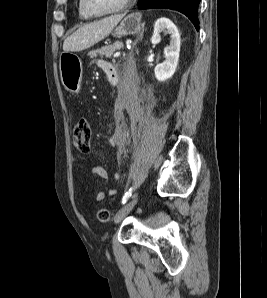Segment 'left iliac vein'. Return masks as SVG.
Segmentation results:
<instances>
[{"instance_id": "left-iliac-vein-1", "label": "left iliac vein", "mask_w": 267, "mask_h": 298, "mask_svg": "<svg viewBox=\"0 0 267 298\" xmlns=\"http://www.w3.org/2000/svg\"><path fill=\"white\" fill-rule=\"evenodd\" d=\"M138 201L137 197H133L128 203H126L115 215L114 222L119 223L121 222L126 215L130 213V211L134 208Z\"/></svg>"}]
</instances>
